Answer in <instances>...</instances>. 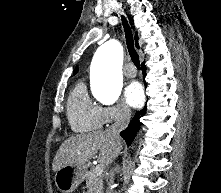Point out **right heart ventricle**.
<instances>
[{"label":"right heart ventricle","instance_id":"right-heart-ventricle-1","mask_svg":"<svg viewBox=\"0 0 221 193\" xmlns=\"http://www.w3.org/2000/svg\"><path fill=\"white\" fill-rule=\"evenodd\" d=\"M102 107L89 97L83 82H79L69 95L67 114L72 129L90 132L103 125Z\"/></svg>","mask_w":221,"mask_h":193}]
</instances>
